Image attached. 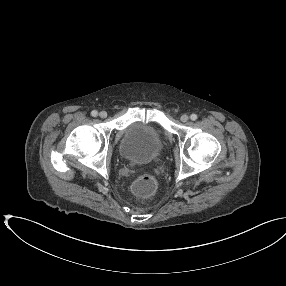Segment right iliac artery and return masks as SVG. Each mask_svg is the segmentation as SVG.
<instances>
[{
	"label": "right iliac artery",
	"mask_w": 286,
	"mask_h": 286,
	"mask_svg": "<svg viewBox=\"0 0 286 286\" xmlns=\"http://www.w3.org/2000/svg\"><path fill=\"white\" fill-rule=\"evenodd\" d=\"M91 115H92L93 117H96V116L98 115V112H97L96 110H93V111L91 112Z\"/></svg>",
	"instance_id": "82829eb1"
}]
</instances>
